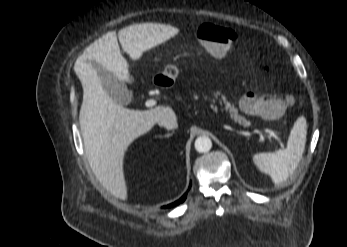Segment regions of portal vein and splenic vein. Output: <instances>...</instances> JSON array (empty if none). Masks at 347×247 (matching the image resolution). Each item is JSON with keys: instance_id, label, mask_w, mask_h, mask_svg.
<instances>
[{"instance_id": "1", "label": "portal vein and splenic vein", "mask_w": 347, "mask_h": 247, "mask_svg": "<svg viewBox=\"0 0 347 247\" xmlns=\"http://www.w3.org/2000/svg\"><path fill=\"white\" fill-rule=\"evenodd\" d=\"M155 105H156V101L153 100V99L147 100V101L145 102V106H146V107H153V106H155ZM265 132H266L267 134H269L271 137L277 139V135L275 134L274 131H272V130H270V129H266ZM260 142H264V137H263L262 135H261V137H260Z\"/></svg>"}]
</instances>
